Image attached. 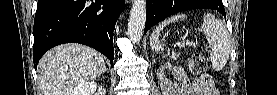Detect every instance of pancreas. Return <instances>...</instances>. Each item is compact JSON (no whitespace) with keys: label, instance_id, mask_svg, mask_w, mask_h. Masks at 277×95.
<instances>
[{"label":"pancreas","instance_id":"1","mask_svg":"<svg viewBox=\"0 0 277 95\" xmlns=\"http://www.w3.org/2000/svg\"><path fill=\"white\" fill-rule=\"evenodd\" d=\"M178 58H179V54H176L174 52L170 55V59L172 60H177Z\"/></svg>","mask_w":277,"mask_h":95}]
</instances>
